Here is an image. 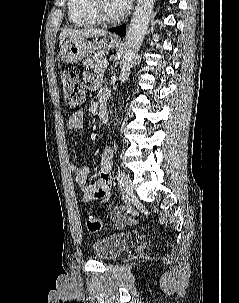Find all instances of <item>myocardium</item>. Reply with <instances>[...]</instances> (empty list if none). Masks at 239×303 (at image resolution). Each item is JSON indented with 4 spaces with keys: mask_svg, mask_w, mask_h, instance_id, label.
Segmentation results:
<instances>
[{
    "mask_svg": "<svg viewBox=\"0 0 239 303\" xmlns=\"http://www.w3.org/2000/svg\"><path fill=\"white\" fill-rule=\"evenodd\" d=\"M90 4L92 13L98 18L100 22L115 23L123 19L125 16L124 11L117 15L109 14L105 9L102 0H90Z\"/></svg>",
    "mask_w": 239,
    "mask_h": 303,
    "instance_id": "1",
    "label": "myocardium"
}]
</instances>
